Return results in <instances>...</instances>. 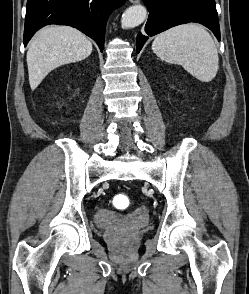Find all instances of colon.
<instances>
[{
	"instance_id": "obj_1",
	"label": "colon",
	"mask_w": 249,
	"mask_h": 294,
	"mask_svg": "<svg viewBox=\"0 0 249 294\" xmlns=\"http://www.w3.org/2000/svg\"><path fill=\"white\" fill-rule=\"evenodd\" d=\"M114 203L116 206L126 208L130 204V199L126 195H117L114 198Z\"/></svg>"
}]
</instances>
